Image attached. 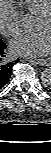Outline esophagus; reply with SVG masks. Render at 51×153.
Returning <instances> with one entry per match:
<instances>
[{"mask_svg": "<svg viewBox=\"0 0 51 153\" xmlns=\"http://www.w3.org/2000/svg\"><path fill=\"white\" fill-rule=\"evenodd\" d=\"M37 63L40 66H49V65H51V60L49 58L38 59Z\"/></svg>", "mask_w": 51, "mask_h": 153, "instance_id": "1", "label": "esophagus"}]
</instances>
